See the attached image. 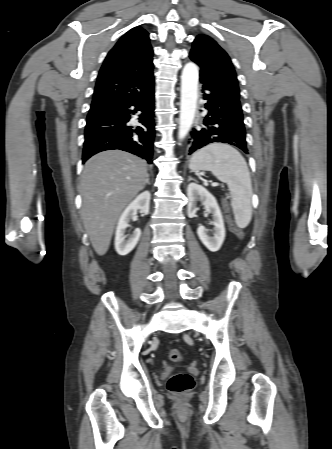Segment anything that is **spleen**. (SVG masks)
Returning <instances> with one entry per match:
<instances>
[{
    "label": "spleen",
    "instance_id": "1",
    "mask_svg": "<svg viewBox=\"0 0 332 449\" xmlns=\"http://www.w3.org/2000/svg\"><path fill=\"white\" fill-rule=\"evenodd\" d=\"M191 171L206 170L227 183L234 218L239 228H246L252 219V184L247 163L242 155L227 144H210L191 157Z\"/></svg>",
    "mask_w": 332,
    "mask_h": 449
}]
</instances>
